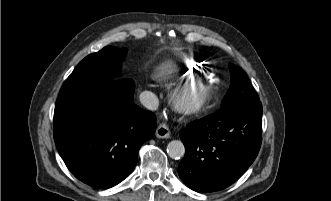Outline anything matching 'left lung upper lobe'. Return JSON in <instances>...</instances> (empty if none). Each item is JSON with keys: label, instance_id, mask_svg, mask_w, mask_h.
Here are the masks:
<instances>
[{"label": "left lung upper lobe", "instance_id": "left-lung-upper-lobe-1", "mask_svg": "<svg viewBox=\"0 0 331 201\" xmlns=\"http://www.w3.org/2000/svg\"><path fill=\"white\" fill-rule=\"evenodd\" d=\"M230 70L232 72L231 85L222 100V107L259 100L246 73L240 67L233 64H230Z\"/></svg>", "mask_w": 331, "mask_h": 201}]
</instances>
